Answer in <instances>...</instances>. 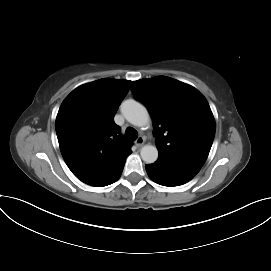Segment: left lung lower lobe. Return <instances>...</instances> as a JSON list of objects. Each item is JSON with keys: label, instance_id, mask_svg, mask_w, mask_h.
<instances>
[{"label": "left lung lower lobe", "instance_id": "left-lung-lower-lobe-1", "mask_svg": "<svg viewBox=\"0 0 271 271\" xmlns=\"http://www.w3.org/2000/svg\"><path fill=\"white\" fill-rule=\"evenodd\" d=\"M200 169L198 166L161 156L154 164L146 165L147 174L152 181L170 187L188 182Z\"/></svg>", "mask_w": 271, "mask_h": 271}]
</instances>
